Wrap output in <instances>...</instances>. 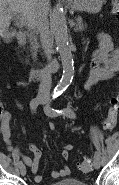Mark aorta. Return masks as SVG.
<instances>
[{
	"instance_id": "aorta-1",
	"label": "aorta",
	"mask_w": 119,
	"mask_h": 185,
	"mask_svg": "<svg viewBox=\"0 0 119 185\" xmlns=\"http://www.w3.org/2000/svg\"><path fill=\"white\" fill-rule=\"evenodd\" d=\"M51 32L54 36L63 67L62 78L54 91L55 94H60L72 82L74 75L73 56L68 38V28L61 3H57L53 9Z\"/></svg>"
}]
</instances>
